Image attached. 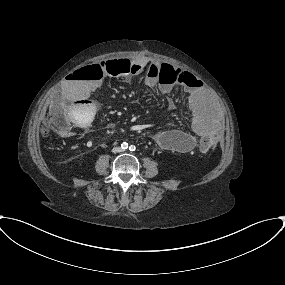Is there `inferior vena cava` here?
Returning <instances> with one entry per match:
<instances>
[{"mask_svg":"<svg viewBox=\"0 0 285 285\" xmlns=\"http://www.w3.org/2000/svg\"><path fill=\"white\" fill-rule=\"evenodd\" d=\"M122 151V149L120 148V147H115L114 149H113V152L115 153V152H121Z\"/></svg>","mask_w":285,"mask_h":285,"instance_id":"602c4592","label":"inferior vena cava"}]
</instances>
